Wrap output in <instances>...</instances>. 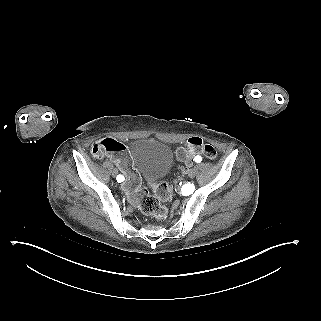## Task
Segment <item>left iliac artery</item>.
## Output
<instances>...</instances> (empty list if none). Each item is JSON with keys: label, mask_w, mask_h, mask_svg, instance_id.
<instances>
[{"label": "left iliac artery", "mask_w": 321, "mask_h": 321, "mask_svg": "<svg viewBox=\"0 0 321 321\" xmlns=\"http://www.w3.org/2000/svg\"><path fill=\"white\" fill-rule=\"evenodd\" d=\"M201 160H202V159H201L200 156H196V157H195V162L199 163V162H201Z\"/></svg>", "instance_id": "left-iliac-artery-1"}]
</instances>
